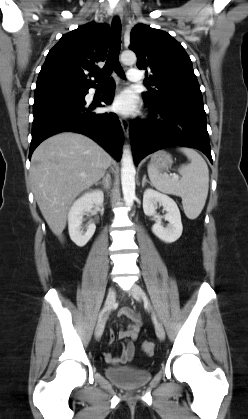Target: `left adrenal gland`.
I'll return each mask as SVG.
<instances>
[{"label":"left adrenal gland","mask_w":248,"mask_h":419,"mask_svg":"<svg viewBox=\"0 0 248 419\" xmlns=\"http://www.w3.org/2000/svg\"><path fill=\"white\" fill-rule=\"evenodd\" d=\"M146 183H148V180L146 179V175H144L142 180V187H144Z\"/></svg>","instance_id":"obj_1"}]
</instances>
